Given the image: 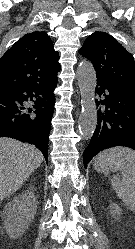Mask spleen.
Instances as JSON below:
<instances>
[{
    "mask_svg": "<svg viewBox=\"0 0 135 249\" xmlns=\"http://www.w3.org/2000/svg\"><path fill=\"white\" fill-rule=\"evenodd\" d=\"M110 161L122 171V180L111 179L113 189L123 203L135 211V151L125 147H115L99 154L94 162Z\"/></svg>",
    "mask_w": 135,
    "mask_h": 249,
    "instance_id": "3e777b00",
    "label": "spleen"
}]
</instances>
